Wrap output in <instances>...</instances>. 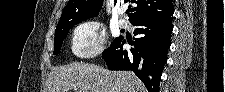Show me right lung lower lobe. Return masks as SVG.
I'll return each instance as SVG.
<instances>
[{"instance_id":"1","label":"right lung lower lobe","mask_w":225,"mask_h":92,"mask_svg":"<svg viewBox=\"0 0 225 92\" xmlns=\"http://www.w3.org/2000/svg\"><path fill=\"white\" fill-rule=\"evenodd\" d=\"M138 35L130 51L123 50L121 39L117 38L103 52V58L110 70H131L145 84L148 92H159L162 71L167 61L171 44L172 14L141 19L133 23Z\"/></svg>"}]
</instances>
